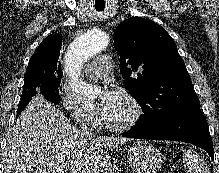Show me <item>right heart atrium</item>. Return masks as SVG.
<instances>
[{"label":"right heart atrium","instance_id":"1","mask_svg":"<svg viewBox=\"0 0 219 173\" xmlns=\"http://www.w3.org/2000/svg\"><path fill=\"white\" fill-rule=\"evenodd\" d=\"M59 100L61 105L78 123L85 126H94L96 124L97 118L95 112L86 107L76 95L68 91H63L59 94Z\"/></svg>","mask_w":219,"mask_h":173}]
</instances>
